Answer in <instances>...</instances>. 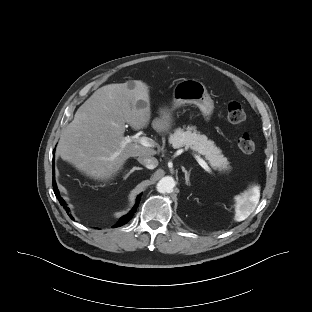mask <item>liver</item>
<instances>
[{
	"label": "liver",
	"mask_w": 312,
	"mask_h": 312,
	"mask_svg": "<svg viewBox=\"0 0 312 312\" xmlns=\"http://www.w3.org/2000/svg\"><path fill=\"white\" fill-rule=\"evenodd\" d=\"M138 102H142L141 108L136 107ZM158 113L159 117L152 122L153 129L168 132L172 125L170 111L159 108ZM150 119L146 83L136 80L103 86L78 108L73 121L64 129L58 154L94 180L112 179L128 158L156 154L154 149L134 142L123 147L125 124L140 130L148 126ZM117 152L120 154L114 156Z\"/></svg>",
	"instance_id": "6515ba94"
}]
</instances>
